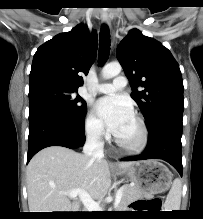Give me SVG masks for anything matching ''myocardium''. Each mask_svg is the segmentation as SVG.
I'll return each mask as SVG.
<instances>
[{
    "mask_svg": "<svg viewBox=\"0 0 203 219\" xmlns=\"http://www.w3.org/2000/svg\"><path fill=\"white\" fill-rule=\"evenodd\" d=\"M133 117L136 120V122L138 123L139 128H140V132H141L139 142L134 144V145H129V144L122 142L116 135H114V142L121 150H123L127 153L139 154V153L143 152L148 145L149 131H148V128H147V125H146L144 119L140 115L134 113Z\"/></svg>",
    "mask_w": 203,
    "mask_h": 219,
    "instance_id": "obj_1",
    "label": "myocardium"
}]
</instances>
